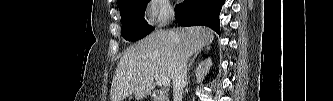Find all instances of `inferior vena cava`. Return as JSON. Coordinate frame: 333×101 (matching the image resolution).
I'll list each match as a JSON object with an SVG mask.
<instances>
[{"label":"inferior vena cava","mask_w":333,"mask_h":101,"mask_svg":"<svg viewBox=\"0 0 333 101\" xmlns=\"http://www.w3.org/2000/svg\"><path fill=\"white\" fill-rule=\"evenodd\" d=\"M187 60L182 57L173 79V101H182V93L187 83Z\"/></svg>","instance_id":"obj_1"}]
</instances>
